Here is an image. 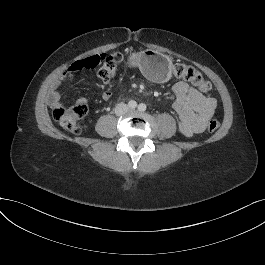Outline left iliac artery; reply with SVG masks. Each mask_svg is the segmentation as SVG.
<instances>
[{
  "mask_svg": "<svg viewBox=\"0 0 265 265\" xmlns=\"http://www.w3.org/2000/svg\"><path fill=\"white\" fill-rule=\"evenodd\" d=\"M139 111H145L146 110V105L144 103H141L138 105Z\"/></svg>",
  "mask_w": 265,
  "mask_h": 265,
  "instance_id": "1",
  "label": "left iliac artery"
}]
</instances>
